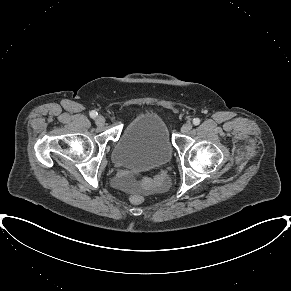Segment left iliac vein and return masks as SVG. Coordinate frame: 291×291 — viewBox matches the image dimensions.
<instances>
[{
	"mask_svg": "<svg viewBox=\"0 0 291 291\" xmlns=\"http://www.w3.org/2000/svg\"><path fill=\"white\" fill-rule=\"evenodd\" d=\"M191 129H192V124H190V123H186V124H184V125L182 126V128H181V132H182L183 134H186V133H188Z\"/></svg>",
	"mask_w": 291,
	"mask_h": 291,
	"instance_id": "left-iliac-vein-1",
	"label": "left iliac vein"
}]
</instances>
